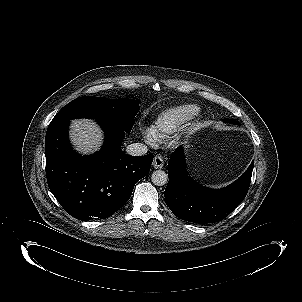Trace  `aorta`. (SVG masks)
Instances as JSON below:
<instances>
[{
    "instance_id": "obj_1",
    "label": "aorta",
    "mask_w": 302,
    "mask_h": 302,
    "mask_svg": "<svg viewBox=\"0 0 302 302\" xmlns=\"http://www.w3.org/2000/svg\"><path fill=\"white\" fill-rule=\"evenodd\" d=\"M151 180L156 186H163L168 182V175L163 170H156L151 175Z\"/></svg>"
}]
</instances>
